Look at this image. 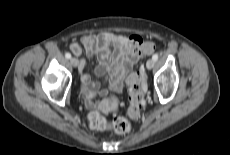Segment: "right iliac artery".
<instances>
[{
  "instance_id": "1",
  "label": "right iliac artery",
  "mask_w": 230,
  "mask_h": 155,
  "mask_svg": "<svg viewBox=\"0 0 230 155\" xmlns=\"http://www.w3.org/2000/svg\"><path fill=\"white\" fill-rule=\"evenodd\" d=\"M65 57H66L67 59H70V58H71V54H70V53H66V54H65Z\"/></svg>"
}]
</instances>
